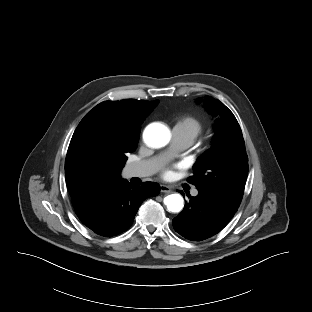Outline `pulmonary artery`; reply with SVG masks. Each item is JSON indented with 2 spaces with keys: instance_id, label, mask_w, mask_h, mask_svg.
Returning <instances> with one entry per match:
<instances>
[{
  "instance_id": "e3ab8cb5",
  "label": "pulmonary artery",
  "mask_w": 312,
  "mask_h": 312,
  "mask_svg": "<svg viewBox=\"0 0 312 312\" xmlns=\"http://www.w3.org/2000/svg\"><path fill=\"white\" fill-rule=\"evenodd\" d=\"M191 145V141L185 136L179 134L177 131L173 130L172 144L170 151L183 150ZM164 156L155 157L149 160L140 161L133 163L128 168V175L130 177H146L155 173L160 165ZM193 196L198 195L197 190L192 191Z\"/></svg>"
}]
</instances>
